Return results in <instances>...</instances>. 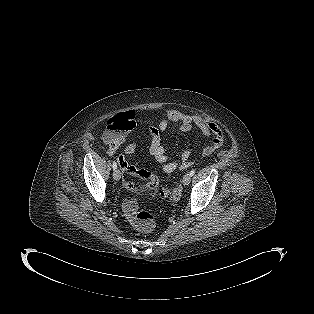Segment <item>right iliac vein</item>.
<instances>
[{
	"instance_id": "63e3f726",
	"label": "right iliac vein",
	"mask_w": 314,
	"mask_h": 314,
	"mask_svg": "<svg viewBox=\"0 0 314 314\" xmlns=\"http://www.w3.org/2000/svg\"><path fill=\"white\" fill-rule=\"evenodd\" d=\"M113 178H114V180H116V181H119V180H120V178H121V173H120V171H119L118 169H116V170L114 171V173H113Z\"/></svg>"
}]
</instances>
